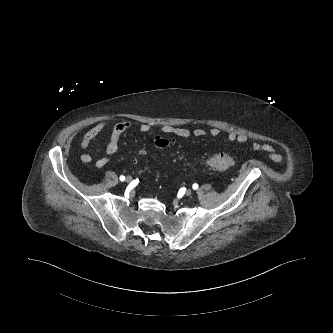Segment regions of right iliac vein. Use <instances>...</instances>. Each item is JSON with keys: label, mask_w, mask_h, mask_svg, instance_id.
<instances>
[{"label": "right iliac vein", "mask_w": 333, "mask_h": 333, "mask_svg": "<svg viewBox=\"0 0 333 333\" xmlns=\"http://www.w3.org/2000/svg\"><path fill=\"white\" fill-rule=\"evenodd\" d=\"M125 181L127 183H130L132 181V177L131 176H127L126 179H125Z\"/></svg>", "instance_id": "63e3f726"}]
</instances>
